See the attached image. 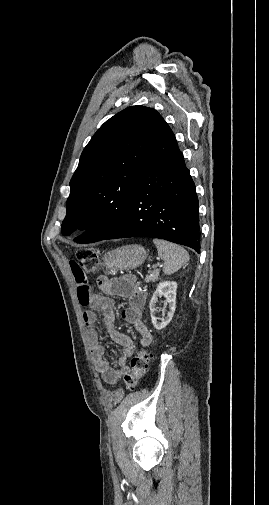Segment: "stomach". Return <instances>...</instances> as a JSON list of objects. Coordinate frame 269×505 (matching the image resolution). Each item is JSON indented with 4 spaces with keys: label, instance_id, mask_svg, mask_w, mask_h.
Instances as JSON below:
<instances>
[{
    "label": "stomach",
    "instance_id": "obj_1",
    "mask_svg": "<svg viewBox=\"0 0 269 505\" xmlns=\"http://www.w3.org/2000/svg\"><path fill=\"white\" fill-rule=\"evenodd\" d=\"M147 258V252L141 245L131 244L111 250L104 255V266L110 271L132 270L140 266Z\"/></svg>",
    "mask_w": 269,
    "mask_h": 505
}]
</instances>
